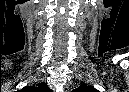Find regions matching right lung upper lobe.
<instances>
[{
  "mask_svg": "<svg viewBox=\"0 0 129 92\" xmlns=\"http://www.w3.org/2000/svg\"><path fill=\"white\" fill-rule=\"evenodd\" d=\"M48 89L45 83H40L36 87L35 86H28L20 90V92H39V91H46Z\"/></svg>",
  "mask_w": 129,
  "mask_h": 92,
  "instance_id": "cb5924a9",
  "label": "right lung upper lobe"
}]
</instances>
